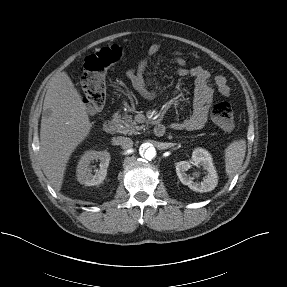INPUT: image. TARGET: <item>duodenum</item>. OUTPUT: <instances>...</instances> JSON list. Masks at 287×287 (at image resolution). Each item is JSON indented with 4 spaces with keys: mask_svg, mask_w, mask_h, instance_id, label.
I'll list each match as a JSON object with an SVG mask.
<instances>
[{
    "mask_svg": "<svg viewBox=\"0 0 287 287\" xmlns=\"http://www.w3.org/2000/svg\"><path fill=\"white\" fill-rule=\"evenodd\" d=\"M103 129L109 134H114L117 130V126L114 120L108 119L103 124ZM154 135L161 137L165 134V126L163 124H156L153 128Z\"/></svg>",
    "mask_w": 287,
    "mask_h": 287,
    "instance_id": "1",
    "label": "duodenum"
}]
</instances>
